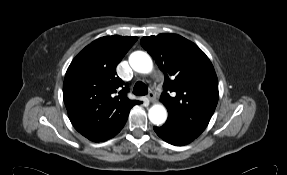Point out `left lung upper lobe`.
I'll list each match as a JSON object with an SVG mask.
<instances>
[{
    "mask_svg": "<svg viewBox=\"0 0 287 175\" xmlns=\"http://www.w3.org/2000/svg\"><path fill=\"white\" fill-rule=\"evenodd\" d=\"M141 45L164 72L160 100L168 110L166 124L196 139L218 102L212 63L197 45L177 34L143 37Z\"/></svg>",
    "mask_w": 287,
    "mask_h": 175,
    "instance_id": "5c2ea615",
    "label": "left lung upper lobe"
}]
</instances>
